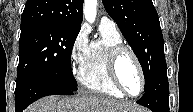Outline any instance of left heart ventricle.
<instances>
[{
    "mask_svg": "<svg viewBox=\"0 0 193 112\" xmlns=\"http://www.w3.org/2000/svg\"><path fill=\"white\" fill-rule=\"evenodd\" d=\"M118 73L126 90L130 94H138L141 88L140 76L137 66L129 54L121 57L118 64Z\"/></svg>",
    "mask_w": 193,
    "mask_h": 112,
    "instance_id": "obj_1",
    "label": "left heart ventricle"
}]
</instances>
